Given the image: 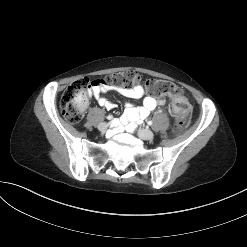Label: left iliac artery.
<instances>
[{"label": "left iliac artery", "instance_id": "obj_1", "mask_svg": "<svg viewBox=\"0 0 247 247\" xmlns=\"http://www.w3.org/2000/svg\"><path fill=\"white\" fill-rule=\"evenodd\" d=\"M147 124H148L149 126H151V125L153 124V122H152V121H148Z\"/></svg>", "mask_w": 247, "mask_h": 247}]
</instances>
